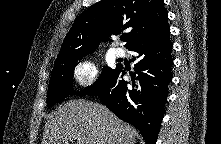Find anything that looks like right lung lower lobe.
Returning <instances> with one entry per match:
<instances>
[{
	"label": "right lung lower lobe",
	"mask_w": 221,
	"mask_h": 144,
	"mask_svg": "<svg viewBox=\"0 0 221 144\" xmlns=\"http://www.w3.org/2000/svg\"><path fill=\"white\" fill-rule=\"evenodd\" d=\"M165 24L157 31L135 41L127 49L135 52V71L130 80L118 66L99 87L88 93L98 96L121 120L136 127L147 144H155L165 113L168 85L172 80V42Z\"/></svg>",
	"instance_id": "obj_1"
}]
</instances>
